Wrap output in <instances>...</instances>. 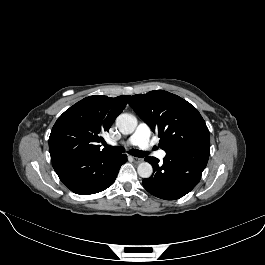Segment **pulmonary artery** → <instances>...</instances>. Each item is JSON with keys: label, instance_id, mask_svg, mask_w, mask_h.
<instances>
[{"label": "pulmonary artery", "instance_id": "e3ab8cb5", "mask_svg": "<svg viewBox=\"0 0 265 265\" xmlns=\"http://www.w3.org/2000/svg\"><path fill=\"white\" fill-rule=\"evenodd\" d=\"M150 136V129L147 125L145 124H140L135 131V133L129 137L126 140L127 145H137L139 146L143 151L152 153V143L149 140ZM165 156V152L161 151L159 153V157L163 158Z\"/></svg>", "mask_w": 265, "mask_h": 265}]
</instances>
